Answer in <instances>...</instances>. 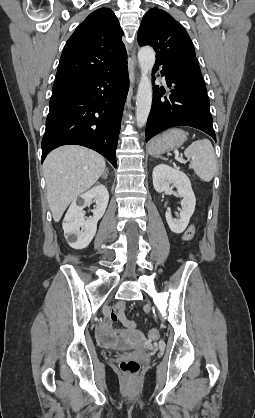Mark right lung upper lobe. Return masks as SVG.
I'll use <instances>...</instances> for the list:
<instances>
[{"label": "right lung upper lobe", "mask_w": 255, "mask_h": 418, "mask_svg": "<svg viewBox=\"0 0 255 418\" xmlns=\"http://www.w3.org/2000/svg\"><path fill=\"white\" fill-rule=\"evenodd\" d=\"M123 31L114 12H92L66 42L55 79L110 70L127 63Z\"/></svg>", "instance_id": "right-lung-upper-lobe-1"}]
</instances>
